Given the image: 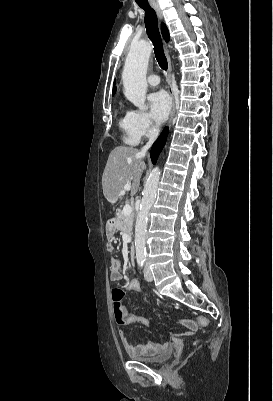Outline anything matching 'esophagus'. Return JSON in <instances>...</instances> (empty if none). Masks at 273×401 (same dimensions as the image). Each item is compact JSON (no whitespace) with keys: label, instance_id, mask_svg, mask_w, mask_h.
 Returning <instances> with one entry per match:
<instances>
[{"label":"esophagus","instance_id":"esophagus-1","mask_svg":"<svg viewBox=\"0 0 273 401\" xmlns=\"http://www.w3.org/2000/svg\"><path fill=\"white\" fill-rule=\"evenodd\" d=\"M153 9L155 10V12L158 15V18L160 20H162L163 18V14H162V10L159 7L158 3H154L151 4ZM165 54H166V58H167V62H168V68H167V75H166V80H167V89L169 92V95L171 97V102H172V108H171V114H170V119H169V127H171L174 116H175V107H176V103H175V93L172 87V79H171V71H172V67H171V60H170V56L169 53L167 51V45L165 44Z\"/></svg>","mask_w":273,"mask_h":401}]
</instances>
